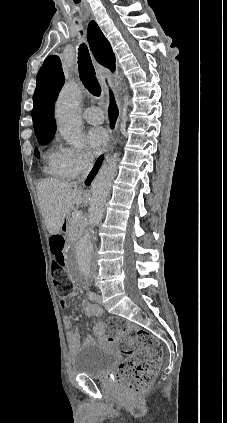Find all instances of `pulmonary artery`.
Listing matches in <instances>:
<instances>
[{"instance_id":"pulmonary-artery-1","label":"pulmonary artery","mask_w":227,"mask_h":423,"mask_svg":"<svg viewBox=\"0 0 227 423\" xmlns=\"http://www.w3.org/2000/svg\"><path fill=\"white\" fill-rule=\"evenodd\" d=\"M84 120L90 125H101L104 122L103 111L95 106L87 108L83 113Z\"/></svg>"}]
</instances>
